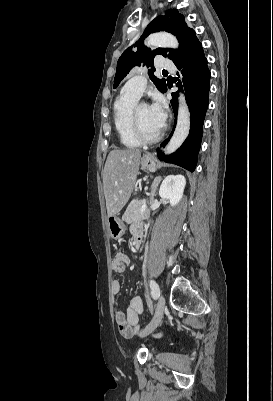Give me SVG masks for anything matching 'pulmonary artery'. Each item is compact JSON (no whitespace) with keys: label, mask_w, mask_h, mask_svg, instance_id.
<instances>
[{"label":"pulmonary artery","mask_w":273,"mask_h":401,"mask_svg":"<svg viewBox=\"0 0 273 401\" xmlns=\"http://www.w3.org/2000/svg\"><path fill=\"white\" fill-rule=\"evenodd\" d=\"M156 69H159L161 72H176L178 70V65L174 63L172 57H164L162 63L159 66H156ZM141 74H144V71H141ZM141 74H135L133 80H129L127 85L123 87V92L125 94L133 95L136 98L142 96L143 91L147 86L145 81L147 80V77Z\"/></svg>","instance_id":"e3ab8cb5"}]
</instances>
